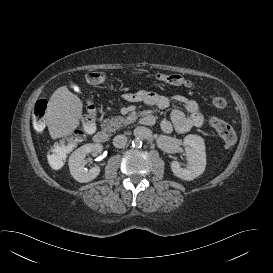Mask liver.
Instances as JSON below:
<instances>
[{
  "label": "liver",
  "instance_id": "liver-1",
  "mask_svg": "<svg viewBox=\"0 0 273 273\" xmlns=\"http://www.w3.org/2000/svg\"><path fill=\"white\" fill-rule=\"evenodd\" d=\"M83 104L79 97L63 86L50 97L46 122L52 139L70 135L80 124Z\"/></svg>",
  "mask_w": 273,
  "mask_h": 273
}]
</instances>
